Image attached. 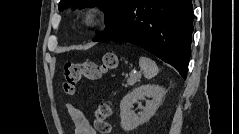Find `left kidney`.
<instances>
[{
	"instance_id": "obj_1",
	"label": "left kidney",
	"mask_w": 239,
	"mask_h": 134,
	"mask_svg": "<svg viewBox=\"0 0 239 134\" xmlns=\"http://www.w3.org/2000/svg\"><path fill=\"white\" fill-rule=\"evenodd\" d=\"M165 93L166 90L163 87L147 84L134 89L131 93L124 96L120 103L122 129L131 131L147 122L156 112ZM145 97L152 98V100L147 101L145 107L140 104L139 108L141 111L136 114L132 110L133 104L139 103V100Z\"/></svg>"
}]
</instances>
